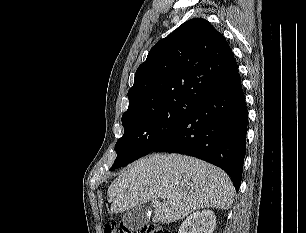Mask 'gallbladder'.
Segmentation results:
<instances>
[{
	"instance_id": "1",
	"label": "gallbladder",
	"mask_w": 306,
	"mask_h": 233,
	"mask_svg": "<svg viewBox=\"0 0 306 233\" xmlns=\"http://www.w3.org/2000/svg\"><path fill=\"white\" fill-rule=\"evenodd\" d=\"M149 218V208L137 205L124 213L122 221L129 230H138L148 223Z\"/></svg>"
}]
</instances>
